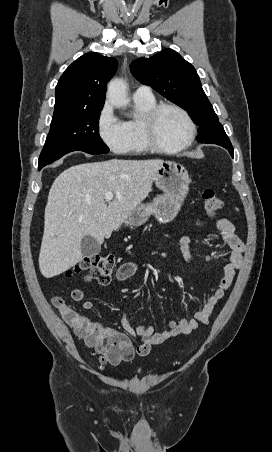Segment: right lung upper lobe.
<instances>
[{"mask_svg": "<svg viewBox=\"0 0 272 452\" xmlns=\"http://www.w3.org/2000/svg\"><path fill=\"white\" fill-rule=\"evenodd\" d=\"M117 64L115 58L98 53H86L74 61L56 86L53 116L102 108L106 83Z\"/></svg>", "mask_w": 272, "mask_h": 452, "instance_id": "right-lung-upper-lobe-1", "label": "right lung upper lobe"}]
</instances>
